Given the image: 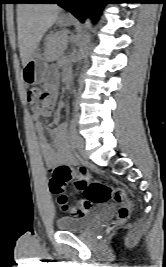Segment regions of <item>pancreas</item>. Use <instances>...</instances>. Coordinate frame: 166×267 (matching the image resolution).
<instances>
[{
  "instance_id": "1",
  "label": "pancreas",
  "mask_w": 166,
  "mask_h": 267,
  "mask_svg": "<svg viewBox=\"0 0 166 267\" xmlns=\"http://www.w3.org/2000/svg\"><path fill=\"white\" fill-rule=\"evenodd\" d=\"M65 45L66 37L62 33L58 32L53 34L47 41L46 50L44 52L45 59L48 61L56 59Z\"/></svg>"
}]
</instances>
